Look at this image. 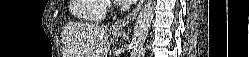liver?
I'll return each instance as SVG.
<instances>
[{"label": "liver", "instance_id": "liver-1", "mask_svg": "<svg viewBox=\"0 0 249 57\" xmlns=\"http://www.w3.org/2000/svg\"><path fill=\"white\" fill-rule=\"evenodd\" d=\"M63 33L70 57H107L110 43L103 26L69 23Z\"/></svg>", "mask_w": 249, "mask_h": 57}]
</instances>
